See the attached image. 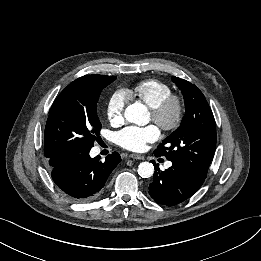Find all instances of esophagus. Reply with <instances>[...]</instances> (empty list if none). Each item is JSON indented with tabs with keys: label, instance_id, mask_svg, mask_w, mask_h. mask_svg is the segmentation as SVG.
Returning a JSON list of instances; mask_svg holds the SVG:
<instances>
[{
	"label": "esophagus",
	"instance_id": "obj_1",
	"mask_svg": "<svg viewBox=\"0 0 261 261\" xmlns=\"http://www.w3.org/2000/svg\"><path fill=\"white\" fill-rule=\"evenodd\" d=\"M129 157H131L132 159H138V160H144V156L140 155V154H130Z\"/></svg>",
	"mask_w": 261,
	"mask_h": 261
}]
</instances>
